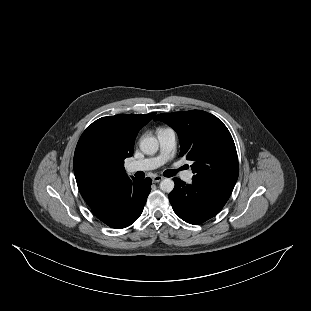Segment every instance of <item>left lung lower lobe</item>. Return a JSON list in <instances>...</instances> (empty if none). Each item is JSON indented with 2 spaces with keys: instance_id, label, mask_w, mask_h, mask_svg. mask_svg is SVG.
<instances>
[{
  "instance_id": "obj_1",
  "label": "left lung lower lobe",
  "mask_w": 311,
  "mask_h": 311,
  "mask_svg": "<svg viewBox=\"0 0 311 311\" xmlns=\"http://www.w3.org/2000/svg\"><path fill=\"white\" fill-rule=\"evenodd\" d=\"M169 194L174 212L185 222L198 225L215 216L229 199L234 185L193 180L186 184L174 178Z\"/></svg>"
}]
</instances>
